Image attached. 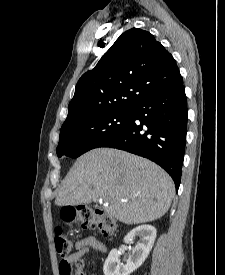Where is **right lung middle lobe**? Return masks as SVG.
<instances>
[{
  "mask_svg": "<svg viewBox=\"0 0 225 275\" xmlns=\"http://www.w3.org/2000/svg\"><path fill=\"white\" fill-rule=\"evenodd\" d=\"M131 110L107 111L78 119L60 130L57 155L77 158L99 147L122 130L128 123Z\"/></svg>",
  "mask_w": 225,
  "mask_h": 275,
  "instance_id": "obj_1",
  "label": "right lung middle lobe"
}]
</instances>
